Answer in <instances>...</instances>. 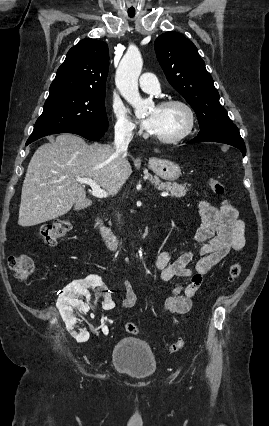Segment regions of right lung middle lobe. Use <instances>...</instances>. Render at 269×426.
I'll return each mask as SVG.
<instances>
[{
	"mask_svg": "<svg viewBox=\"0 0 269 426\" xmlns=\"http://www.w3.org/2000/svg\"><path fill=\"white\" fill-rule=\"evenodd\" d=\"M105 94L59 91L49 93L29 140L88 127L107 130Z\"/></svg>",
	"mask_w": 269,
	"mask_h": 426,
	"instance_id": "1",
	"label": "right lung middle lobe"
}]
</instances>
